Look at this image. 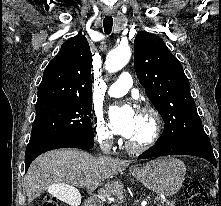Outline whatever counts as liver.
Masks as SVG:
<instances>
[{
    "instance_id": "6515ba94",
    "label": "liver",
    "mask_w": 221,
    "mask_h": 206,
    "mask_svg": "<svg viewBox=\"0 0 221 206\" xmlns=\"http://www.w3.org/2000/svg\"><path fill=\"white\" fill-rule=\"evenodd\" d=\"M130 161L111 157H93L76 149L54 150L40 155L31 164L25 178L24 188L28 202H32L45 190L62 185L66 190L91 188L105 179L122 174ZM105 190L115 196L123 193L124 185L119 180L105 184Z\"/></svg>"
}]
</instances>
